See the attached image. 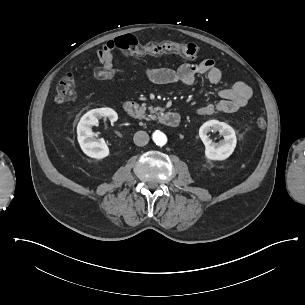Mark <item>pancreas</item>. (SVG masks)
I'll use <instances>...</instances> for the list:
<instances>
[{
	"label": "pancreas",
	"instance_id": "pancreas-1",
	"mask_svg": "<svg viewBox=\"0 0 305 305\" xmlns=\"http://www.w3.org/2000/svg\"><path fill=\"white\" fill-rule=\"evenodd\" d=\"M142 107H143L144 109H146V104H142ZM155 111H156V108H151V109H150V115H147L145 119H146L147 121L154 120V119L156 118V115H154Z\"/></svg>",
	"mask_w": 305,
	"mask_h": 305
}]
</instances>
